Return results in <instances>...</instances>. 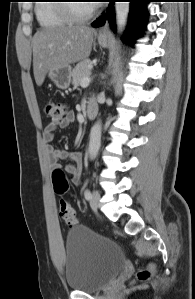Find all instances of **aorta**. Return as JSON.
Here are the masks:
<instances>
[{
	"instance_id": "762f6f07",
	"label": "aorta",
	"mask_w": 195,
	"mask_h": 299,
	"mask_svg": "<svg viewBox=\"0 0 195 299\" xmlns=\"http://www.w3.org/2000/svg\"><path fill=\"white\" fill-rule=\"evenodd\" d=\"M130 10L129 2H116L115 11H116V24H117V33L122 35L128 19V14ZM101 145V122L98 121L94 124L90 133V142H89V156L91 159H94Z\"/></svg>"
}]
</instances>
